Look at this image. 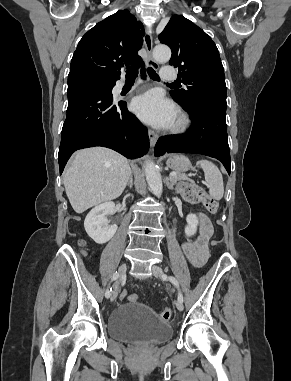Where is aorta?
<instances>
[{
	"label": "aorta",
	"instance_id": "aorta-1",
	"mask_svg": "<svg viewBox=\"0 0 291 381\" xmlns=\"http://www.w3.org/2000/svg\"><path fill=\"white\" fill-rule=\"evenodd\" d=\"M153 58L159 63L168 62L171 58V50L166 45H157L153 49ZM145 176L147 183L156 196H161L162 194V180L158 167L151 160H146L145 162Z\"/></svg>",
	"mask_w": 291,
	"mask_h": 381
}]
</instances>
